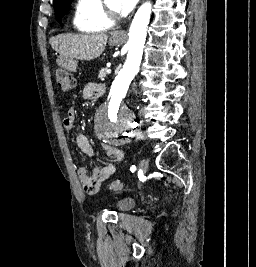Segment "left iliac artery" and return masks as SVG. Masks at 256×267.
Wrapping results in <instances>:
<instances>
[{
  "label": "left iliac artery",
  "mask_w": 256,
  "mask_h": 267,
  "mask_svg": "<svg viewBox=\"0 0 256 267\" xmlns=\"http://www.w3.org/2000/svg\"><path fill=\"white\" fill-rule=\"evenodd\" d=\"M130 170H131V172H134V171L136 170L135 165H132V166L130 167Z\"/></svg>",
  "instance_id": "44dca946"
}]
</instances>
